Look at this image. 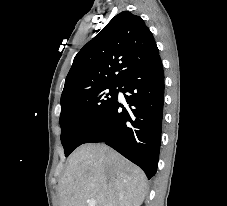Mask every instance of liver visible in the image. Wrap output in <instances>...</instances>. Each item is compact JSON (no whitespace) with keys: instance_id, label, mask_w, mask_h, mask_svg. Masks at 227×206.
Segmentation results:
<instances>
[{"instance_id":"1","label":"liver","mask_w":227,"mask_h":206,"mask_svg":"<svg viewBox=\"0 0 227 206\" xmlns=\"http://www.w3.org/2000/svg\"><path fill=\"white\" fill-rule=\"evenodd\" d=\"M144 172L105 144L88 143L69 157L58 183L59 206H140L147 194Z\"/></svg>"}]
</instances>
